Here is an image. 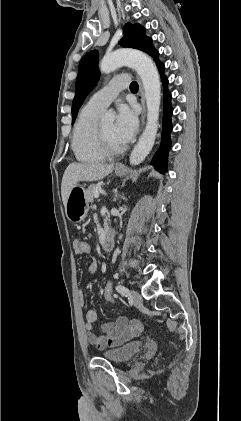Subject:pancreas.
<instances>
[{
  "instance_id": "pancreas-1",
  "label": "pancreas",
  "mask_w": 241,
  "mask_h": 421,
  "mask_svg": "<svg viewBox=\"0 0 241 421\" xmlns=\"http://www.w3.org/2000/svg\"><path fill=\"white\" fill-rule=\"evenodd\" d=\"M99 185L97 184H91L88 186V189L86 190L85 198L88 202H93L94 198V192L98 191Z\"/></svg>"
}]
</instances>
